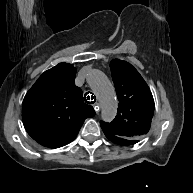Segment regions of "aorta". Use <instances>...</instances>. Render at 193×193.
I'll return each instance as SVG.
<instances>
[{
  "label": "aorta",
  "mask_w": 193,
  "mask_h": 193,
  "mask_svg": "<svg viewBox=\"0 0 193 193\" xmlns=\"http://www.w3.org/2000/svg\"><path fill=\"white\" fill-rule=\"evenodd\" d=\"M87 81L101 103L102 119L106 122L112 121L116 116L118 108V101L112 83L99 70H92Z\"/></svg>",
  "instance_id": "1"
}]
</instances>
